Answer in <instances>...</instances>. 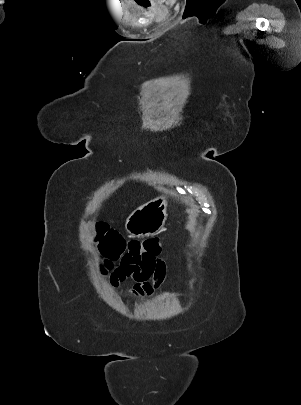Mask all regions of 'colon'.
<instances>
[{"mask_svg":"<svg viewBox=\"0 0 301 405\" xmlns=\"http://www.w3.org/2000/svg\"><path fill=\"white\" fill-rule=\"evenodd\" d=\"M93 231L98 249L106 259V265H110L127 256L143 257L158 255L161 252V244L158 235H150L149 239L144 241H126L121 234L111 229L103 222L96 223Z\"/></svg>","mask_w":301,"mask_h":405,"instance_id":"obj_1","label":"colon"}]
</instances>
